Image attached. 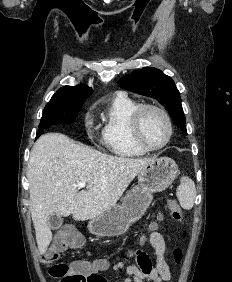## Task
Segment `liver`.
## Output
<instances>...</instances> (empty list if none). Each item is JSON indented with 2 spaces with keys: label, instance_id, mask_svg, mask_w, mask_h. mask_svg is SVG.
I'll return each instance as SVG.
<instances>
[{
  "label": "liver",
  "instance_id": "6515ba94",
  "mask_svg": "<svg viewBox=\"0 0 232 282\" xmlns=\"http://www.w3.org/2000/svg\"><path fill=\"white\" fill-rule=\"evenodd\" d=\"M152 159L123 158L75 144L61 133H47L34 144L28 162L30 211L40 254L52 240L53 213L85 221L104 213L120 199ZM88 189L78 193L77 183Z\"/></svg>",
  "mask_w": 232,
  "mask_h": 282
}]
</instances>
